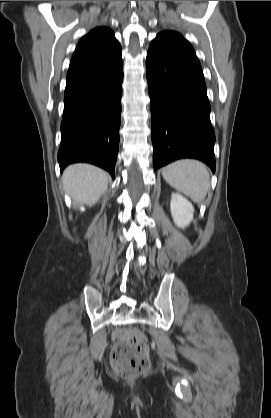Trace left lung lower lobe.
I'll return each mask as SVG.
<instances>
[{"mask_svg": "<svg viewBox=\"0 0 271 418\" xmlns=\"http://www.w3.org/2000/svg\"><path fill=\"white\" fill-rule=\"evenodd\" d=\"M151 101L154 170L180 158H196L215 171V134L199 60L155 38L146 59Z\"/></svg>", "mask_w": 271, "mask_h": 418, "instance_id": "obj_1", "label": "left lung lower lobe"}]
</instances>
